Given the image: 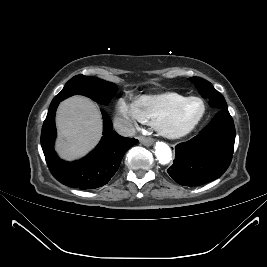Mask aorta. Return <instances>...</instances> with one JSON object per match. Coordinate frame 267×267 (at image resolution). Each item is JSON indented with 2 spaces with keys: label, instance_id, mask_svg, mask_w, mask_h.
Masks as SVG:
<instances>
[{
  "label": "aorta",
  "instance_id": "obj_1",
  "mask_svg": "<svg viewBox=\"0 0 267 267\" xmlns=\"http://www.w3.org/2000/svg\"><path fill=\"white\" fill-rule=\"evenodd\" d=\"M155 156L161 164H168L172 159V152L170 147L164 142H157L155 144Z\"/></svg>",
  "mask_w": 267,
  "mask_h": 267
}]
</instances>
